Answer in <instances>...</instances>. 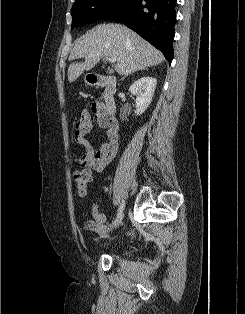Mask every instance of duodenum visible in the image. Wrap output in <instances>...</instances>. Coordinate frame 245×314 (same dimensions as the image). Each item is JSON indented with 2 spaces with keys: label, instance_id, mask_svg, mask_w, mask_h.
<instances>
[{
  "label": "duodenum",
  "instance_id": "410a0bca",
  "mask_svg": "<svg viewBox=\"0 0 245 314\" xmlns=\"http://www.w3.org/2000/svg\"><path fill=\"white\" fill-rule=\"evenodd\" d=\"M91 82L94 86L104 88L103 111L111 121H115L117 111V102L115 99L117 92L116 79L113 76L95 75L92 76Z\"/></svg>",
  "mask_w": 245,
  "mask_h": 314
}]
</instances>
